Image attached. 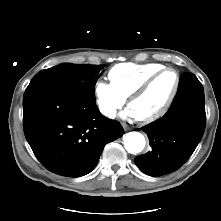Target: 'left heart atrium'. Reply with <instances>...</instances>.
<instances>
[{
	"instance_id": "1",
	"label": "left heart atrium",
	"mask_w": 221,
	"mask_h": 221,
	"mask_svg": "<svg viewBox=\"0 0 221 221\" xmlns=\"http://www.w3.org/2000/svg\"><path fill=\"white\" fill-rule=\"evenodd\" d=\"M121 117L123 119H134L137 118L133 112V110L129 107L121 113Z\"/></svg>"
}]
</instances>
